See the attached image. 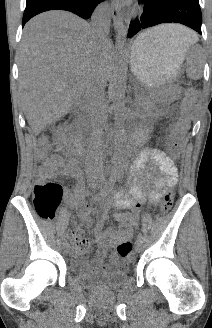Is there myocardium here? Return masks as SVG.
<instances>
[{
    "label": "myocardium",
    "instance_id": "obj_1",
    "mask_svg": "<svg viewBox=\"0 0 212 328\" xmlns=\"http://www.w3.org/2000/svg\"><path fill=\"white\" fill-rule=\"evenodd\" d=\"M139 12V9L138 8H136L135 10H134V14H136V13H138Z\"/></svg>",
    "mask_w": 212,
    "mask_h": 328
}]
</instances>
